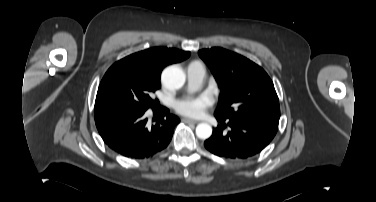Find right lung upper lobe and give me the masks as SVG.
<instances>
[{
	"label": "right lung upper lobe",
	"mask_w": 376,
	"mask_h": 202,
	"mask_svg": "<svg viewBox=\"0 0 376 202\" xmlns=\"http://www.w3.org/2000/svg\"><path fill=\"white\" fill-rule=\"evenodd\" d=\"M190 52L174 48L155 47L132 54L120 61L130 62L152 77L159 78L162 69L172 63L185 60Z\"/></svg>",
	"instance_id": "cb5924a9"
}]
</instances>
